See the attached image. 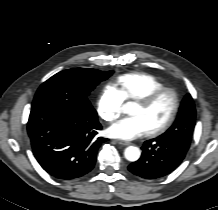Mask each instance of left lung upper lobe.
<instances>
[{"label": "left lung upper lobe", "instance_id": "left-lung-upper-lobe-1", "mask_svg": "<svg viewBox=\"0 0 218 210\" xmlns=\"http://www.w3.org/2000/svg\"><path fill=\"white\" fill-rule=\"evenodd\" d=\"M196 111L194 101L190 94H187L179 109V113L174 124L160 137L168 140L182 139L190 144L194 127Z\"/></svg>", "mask_w": 218, "mask_h": 210}]
</instances>
